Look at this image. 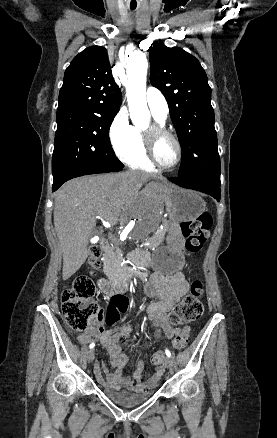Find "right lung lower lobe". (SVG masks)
I'll list each match as a JSON object with an SVG mask.
<instances>
[{
    "label": "right lung lower lobe",
    "instance_id": "obj_1",
    "mask_svg": "<svg viewBox=\"0 0 277 438\" xmlns=\"http://www.w3.org/2000/svg\"><path fill=\"white\" fill-rule=\"evenodd\" d=\"M122 168H123V166L122 167H96V168H91V169H86V170H77V171H74V172L66 175L65 177H63L61 179L53 181L52 190L56 191L64 182H66L69 179L75 178V177L89 175V174H97V173L116 172V171H120Z\"/></svg>",
    "mask_w": 277,
    "mask_h": 438
}]
</instances>
